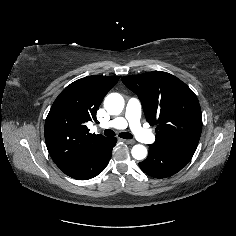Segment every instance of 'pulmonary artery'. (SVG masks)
Listing matches in <instances>:
<instances>
[{
    "mask_svg": "<svg viewBox=\"0 0 236 236\" xmlns=\"http://www.w3.org/2000/svg\"><path fill=\"white\" fill-rule=\"evenodd\" d=\"M140 117V101L137 98H131L127 102L124 116H119L107 123H103L102 127L124 129L129 126L140 142L146 144L155 142V135L141 125Z\"/></svg>",
    "mask_w": 236,
    "mask_h": 236,
    "instance_id": "e3ab8cb5",
    "label": "pulmonary artery"
}]
</instances>
